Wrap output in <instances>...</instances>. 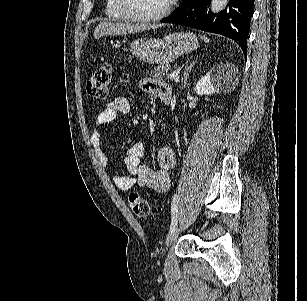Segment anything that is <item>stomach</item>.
Listing matches in <instances>:
<instances>
[{"mask_svg": "<svg viewBox=\"0 0 307 301\" xmlns=\"http://www.w3.org/2000/svg\"><path fill=\"white\" fill-rule=\"evenodd\" d=\"M198 46V40L193 32H170L163 38H136L130 42V52L142 62L151 64H170L172 60L191 52Z\"/></svg>", "mask_w": 307, "mask_h": 301, "instance_id": "obj_1", "label": "stomach"}]
</instances>
